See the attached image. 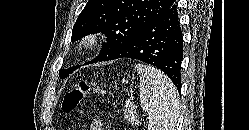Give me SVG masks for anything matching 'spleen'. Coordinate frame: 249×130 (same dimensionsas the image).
<instances>
[{"mask_svg":"<svg viewBox=\"0 0 249 130\" xmlns=\"http://www.w3.org/2000/svg\"><path fill=\"white\" fill-rule=\"evenodd\" d=\"M140 102L149 130H174L180 111L179 94L168 76L155 67L136 64Z\"/></svg>","mask_w":249,"mask_h":130,"instance_id":"1","label":"spleen"}]
</instances>
